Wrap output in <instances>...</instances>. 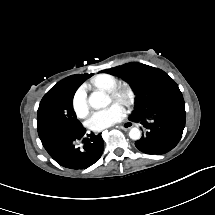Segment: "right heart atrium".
<instances>
[{"mask_svg": "<svg viewBox=\"0 0 215 215\" xmlns=\"http://www.w3.org/2000/svg\"><path fill=\"white\" fill-rule=\"evenodd\" d=\"M73 110L81 117H86L89 114V104L86 101V95L83 91L78 90L73 95Z\"/></svg>", "mask_w": 215, "mask_h": 215, "instance_id": "1", "label": "right heart atrium"}]
</instances>
